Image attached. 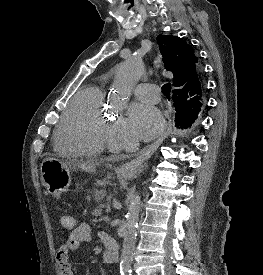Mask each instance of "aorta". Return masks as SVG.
I'll use <instances>...</instances> for the list:
<instances>
[{"instance_id":"obj_1","label":"aorta","mask_w":263,"mask_h":275,"mask_svg":"<svg viewBox=\"0 0 263 275\" xmlns=\"http://www.w3.org/2000/svg\"><path fill=\"white\" fill-rule=\"evenodd\" d=\"M143 65L135 57L119 64L112 84V98L117 101L128 99L132 88L143 75ZM141 208V196L136 194L126 215L123 246L120 256L121 275H131V263L136 244L137 228Z\"/></svg>"}]
</instances>
